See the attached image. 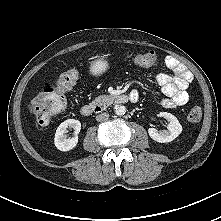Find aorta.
<instances>
[{"instance_id": "obj_1", "label": "aorta", "mask_w": 221, "mask_h": 221, "mask_svg": "<svg viewBox=\"0 0 221 221\" xmlns=\"http://www.w3.org/2000/svg\"><path fill=\"white\" fill-rule=\"evenodd\" d=\"M114 111L116 115L122 116L126 113V107L123 105H115Z\"/></svg>"}]
</instances>
